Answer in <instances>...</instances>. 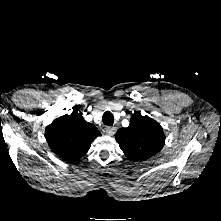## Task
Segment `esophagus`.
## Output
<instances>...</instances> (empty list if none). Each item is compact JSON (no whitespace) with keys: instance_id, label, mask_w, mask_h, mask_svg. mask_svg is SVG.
<instances>
[{"instance_id":"esophagus-1","label":"esophagus","mask_w":221,"mask_h":221,"mask_svg":"<svg viewBox=\"0 0 221 221\" xmlns=\"http://www.w3.org/2000/svg\"><path fill=\"white\" fill-rule=\"evenodd\" d=\"M105 132L109 136H113L116 133L115 127H106Z\"/></svg>"}]
</instances>
